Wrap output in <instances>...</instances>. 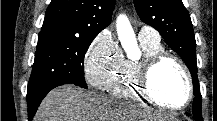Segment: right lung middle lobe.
<instances>
[{
	"mask_svg": "<svg viewBox=\"0 0 217 121\" xmlns=\"http://www.w3.org/2000/svg\"><path fill=\"white\" fill-rule=\"evenodd\" d=\"M95 36H74L41 31L28 91L46 82L64 79L87 88L83 76L84 55Z\"/></svg>",
	"mask_w": 217,
	"mask_h": 121,
	"instance_id": "dd1d6c3e",
	"label": "right lung middle lobe"
}]
</instances>
